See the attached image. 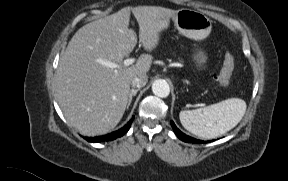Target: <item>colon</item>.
<instances>
[{
    "instance_id": "colon-1",
    "label": "colon",
    "mask_w": 288,
    "mask_h": 181,
    "mask_svg": "<svg viewBox=\"0 0 288 181\" xmlns=\"http://www.w3.org/2000/svg\"><path fill=\"white\" fill-rule=\"evenodd\" d=\"M234 68L235 60L233 55L230 53H226L221 65V70L216 77L221 87L226 88L229 86Z\"/></svg>"
}]
</instances>
